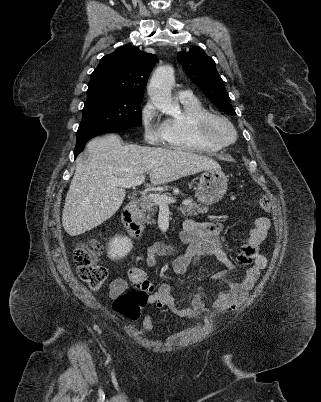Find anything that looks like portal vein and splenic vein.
<instances>
[{"label": "portal vein and splenic vein", "mask_w": 321, "mask_h": 402, "mask_svg": "<svg viewBox=\"0 0 321 402\" xmlns=\"http://www.w3.org/2000/svg\"><path fill=\"white\" fill-rule=\"evenodd\" d=\"M145 180V175H140L134 178H116L110 180L111 184L114 186H120L123 188H131L138 185H141ZM149 197L153 199L160 207H168L169 204L174 203L175 199L170 197H164L160 194H149Z\"/></svg>", "instance_id": "portal-vein-and-splenic-vein-1"}]
</instances>
